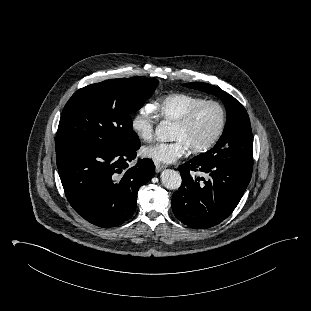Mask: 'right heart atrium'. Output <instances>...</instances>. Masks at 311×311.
<instances>
[{"label": "right heart atrium", "instance_id": "1", "mask_svg": "<svg viewBox=\"0 0 311 311\" xmlns=\"http://www.w3.org/2000/svg\"><path fill=\"white\" fill-rule=\"evenodd\" d=\"M154 128L153 107L146 104L133 115L131 129L140 140L148 142L153 138Z\"/></svg>", "mask_w": 311, "mask_h": 311}]
</instances>
